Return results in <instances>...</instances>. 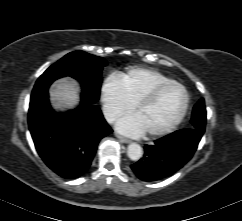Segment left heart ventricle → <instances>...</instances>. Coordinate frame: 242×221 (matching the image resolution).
Here are the masks:
<instances>
[{"mask_svg":"<svg viewBox=\"0 0 242 221\" xmlns=\"http://www.w3.org/2000/svg\"><path fill=\"white\" fill-rule=\"evenodd\" d=\"M184 103L181 88L171 86L164 89L148 106L135 112L145 133L160 130L169 125L179 114Z\"/></svg>","mask_w":242,"mask_h":221,"instance_id":"obj_1","label":"left heart ventricle"}]
</instances>
